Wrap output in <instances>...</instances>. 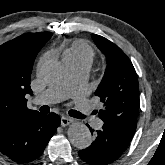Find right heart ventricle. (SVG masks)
Here are the masks:
<instances>
[{"label":"right heart ventricle","instance_id":"obj_1","mask_svg":"<svg viewBox=\"0 0 165 165\" xmlns=\"http://www.w3.org/2000/svg\"><path fill=\"white\" fill-rule=\"evenodd\" d=\"M62 56L67 65L87 64L90 66L95 58V51L85 41L76 40L64 48Z\"/></svg>","mask_w":165,"mask_h":165}]
</instances>
